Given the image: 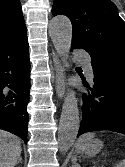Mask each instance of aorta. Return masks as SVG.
Listing matches in <instances>:
<instances>
[{
    "mask_svg": "<svg viewBox=\"0 0 125 167\" xmlns=\"http://www.w3.org/2000/svg\"><path fill=\"white\" fill-rule=\"evenodd\" d=\"M49 35L55 50L61 56H68L72 40V25L65 16L52 18L49 24ZM77 99L72 91H68L62 106L58 129L59 149L66 153L74 144L78 134L80 117Z\"/></svg>",
    "mask_w": 125,
    "mask_h": 167,
    "instance_id": "obj_1",
    "label": "aorta"
}]
</instances>
